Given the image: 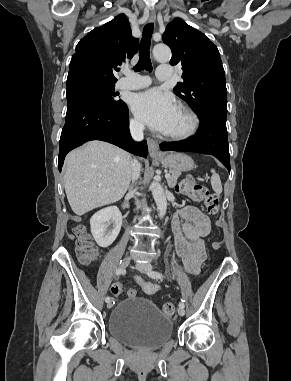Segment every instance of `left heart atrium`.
I'll use <instances>...</instances> for the list:
<instances>
[{
    "instance_id": "1",
    "label": "left heart atrium",
    "mask_w": 291,
    "mask_h": 381,
    "mask_svg": "<svg viewBox=\"0 0 291 381\" xmlns=\"http://www.w3.org/2000/svg\"><path fill=\"white\" fill-rule=\"evenodd\" d=\"M131 108L143 123L160 132H166L179 109L171 95L158 89L135 94Z\"/></svg>"
}]
</instances>
